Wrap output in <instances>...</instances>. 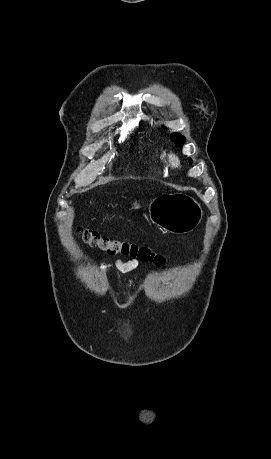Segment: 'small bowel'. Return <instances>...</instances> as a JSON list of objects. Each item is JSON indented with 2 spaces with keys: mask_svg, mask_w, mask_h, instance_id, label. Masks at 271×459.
<instances>
[{
  "mask_svg": "<svg viewBox=\"0 0 271 459\" xmlns=\"http://www.w3.org/2000/svg\"><path fill=\"white\" fill-rule=\"evenodd\" d=\"M116 267H117V269L119 271H121L123 273H129V272H132L133 270H135L138 267V261L136 259L127 260V261L118 260L116 262ZM101 269L103 271H106L107 270V266L105 264H102L101 265Z\"/></svg>",
  "mask_w": 271,
  "mask_h": 459,
  "instance_id": "1",
  "label": "small bowel"
}]
</instances>
